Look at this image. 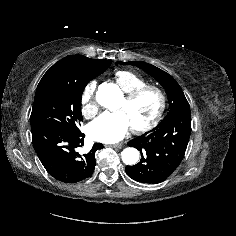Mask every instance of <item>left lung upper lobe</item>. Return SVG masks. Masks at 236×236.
Returning <instances> with one entry per match:
<instances>
[{
  "mask_svg": "<svg viewBox=\"0 0 236 236\" xmlns=\"http://www.w3.org/2000/svg\"><path fill=\"white\" fill-rule=\"evenodd\" d=\"M117 64L137 66L155 78L164 87L168 95L169 112L159 125L163 124L176 114L190 113L189 103L180 85L171 75L146 62H116V65Z\"/></svg>",
  "mask_w": 236,
  "mask_h": 236,
  "instance_id": "obj_1",
  "label": "left lung upper lobe"
}]
</instances>
